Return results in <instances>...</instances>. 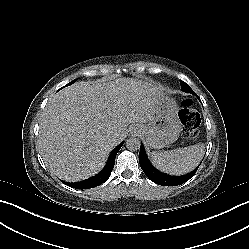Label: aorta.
Listing matches in <instances>:
<instances>
[{
	"mask_svg": "<svg viewBox=\"0 0 249 249\" xmlns=\"http://www.w3.org/2000/svg\"><path fill=\"white\" fill-rule=\"evenodd\" d=\"M126 148L128 150H138L140 148V140L135 137H131L126 140Z\"/></svg>",
	"mask_w": 249,
	"mask_h": 249,
	"instance_id": "aorta-1",
	"label": "aorta"
}]
</instances>
